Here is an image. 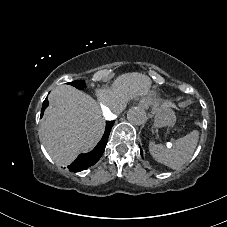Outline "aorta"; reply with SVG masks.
I'll return each mask as SVG.
<instances>
[{
  "label": "aorta",
  "instance_id": "obj_1",
  "mask_svg": "<svg viewBox=\"0 0 227 227\" xmlns=\"http://www.w3.org/2000/svg\"><path fill=\"white\" fill-rule=\"evenodd\" d=\"M127 119L133 125H142L147 121V114L140 107H132L127 112Z\"/></svg>",
  "mask_w": 227,
  "mask_h": 227
}]
</instances>
